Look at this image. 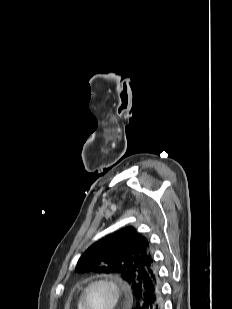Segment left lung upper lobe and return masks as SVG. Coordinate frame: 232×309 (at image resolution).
I'll use <instances>...</instances> for the list:
<instances>
[{
	"instance_id": "1",
	"label": "left lung upper lobe",
	"mask_w": 232,
	"mask_h": 309,
	"mask_svg": "<svg viewBox=\"0 0 232 309\" xmlns=\"http://www.w3.org/2000/svg\"><path fill=\"white\" fill-rule=\"evenodd\" d=\"M80 273H115L130 285L140 302L156 274L149 240L133 227L114 232L91 245L78 260Z\"/></svg>"
}]
</instances>
